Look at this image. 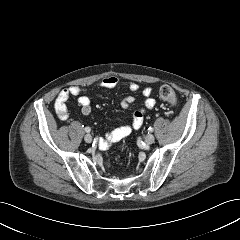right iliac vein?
Here are the masks:
<instances>
[{"label": "right iliac vein", "instance_id": "63e3f726", "mask_svg": "<svg viewBox=\"0 0 240 240\" xmlns=\"http://www.w3.org/2000/svg\"><path fill=\"white\" fill-rule=\"evenodd\" d=\"M84 140H85L86 143H91L93 138H92V136L90 134H86L84 136Z\"/></svg>", "mask_w": 240, "mask_h": 240}]
</instances>
